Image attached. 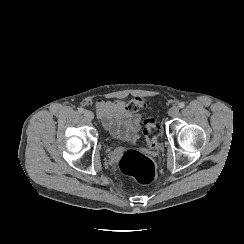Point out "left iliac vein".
Here are the masks:
<instances>
[{"instance_id": "4c4485c4", "label": "left iliac vein", "mask_w": 244, "mask_h": 244, "mask_svg": "<svg viewBox=\"0 0 244 244\" xmlns=\"http://www.w3.org/2000/svg\"><path fill=\"white\" fill-rule=\"evenodd\" d=\"M179 113V109L176 106H173L169 109L168 114L172 117L177 116Z\"/></svg>"}]
</instances>
